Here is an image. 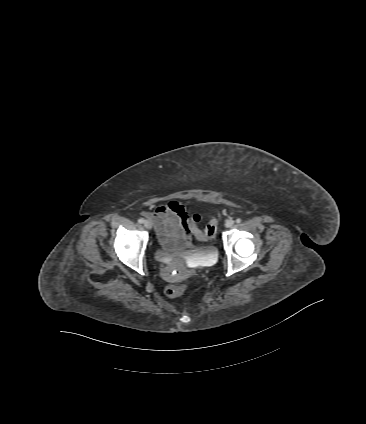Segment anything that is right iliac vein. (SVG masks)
Here are the masks:
<instances>
[{
	"instance_id": "right-iliac-vein-1",
	"label": "right iliac vein",
	"mask_w": 366,
	"mask_h": 424,
	"mask_svg": "<svg viewBox=\"0 0 366 424\" xmlns=\"http://www.w3.org/2000/svg\"><path fill=\"white\" fill-rule=\"evenodd\" d=\"M144 226H145L147 229H151V228H152V222H151L150 220H145V221H144Z\"/></svg>"
}]
</instances>
